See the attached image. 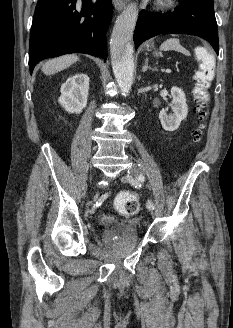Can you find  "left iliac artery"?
I'll use <instances>...</instances> for the list:
<instances>
[{
	"label": "left iliac artery",
	"mask_w": 233,
	"mask_h": 328,
	"mask_svg": "<svg viewBox=\"0 0 233 328\" xmlns=\"http://www.w3.org/2000/svg\"><path fill=\"white\" fill-rule=\"evenodd\" d=\"M144 181V176L143 175H139L138 178L135 180L134 182V186L135 187H141V183ZM148 208L154 209V204L151 200H148L146 203Z\"/></svg>",
	"instance_id": "1"
}]
</instances>
